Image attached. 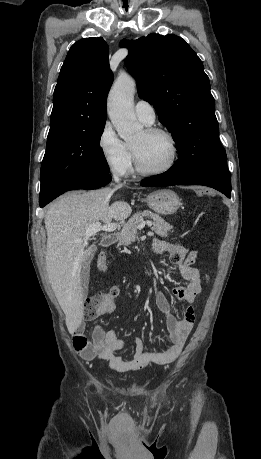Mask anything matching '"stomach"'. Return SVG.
Instances as JSON below:
<instances>
[{
	"label": "stomach",
	"instance_id": "0dacf381",
	"mask_svg": "<svg viewBox=\"0 0 261 459\" xmlns=\"http://www.w3.org/2000/svg\"><path fill=\"white\" fill-rule=\"evenodd\" d=\"M148 206L158 214H174L181 206L178 195L170 189L156 190L146 198Z\"/></svg>",
	"mask_w": 261,
	"mask_h": 459
}]
</instances>
